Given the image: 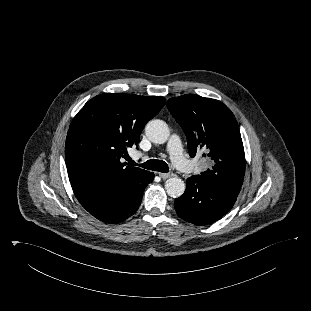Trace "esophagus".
I'll use <instances>...</instances> for the list:
<instances>
[{"instance_id":"1","label":"esophagus","mask_w":311,"mask_h":311,"mask_svg":"<svg viewBox=\"0 0 311 311\" xmlns=\"http://www.w3.org/2000/svg\"><path fill=\"white\" fill-rule=\"evenodd\" d=\"M159 176L162 178V179H168L170 177L173 176L172 173H159Z\"/></svg>"}]
</instances>
